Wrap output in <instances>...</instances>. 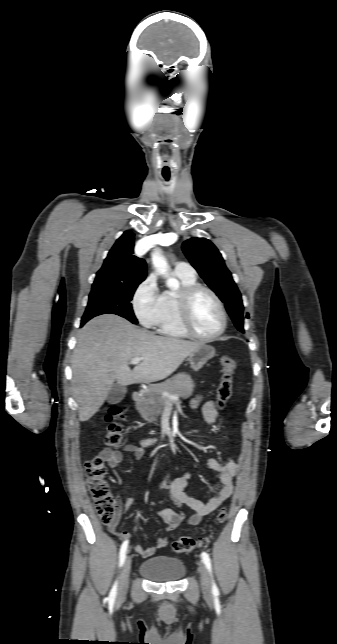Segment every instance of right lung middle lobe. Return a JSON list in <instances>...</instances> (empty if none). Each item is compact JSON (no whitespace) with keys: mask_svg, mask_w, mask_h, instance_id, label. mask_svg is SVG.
Returning a JSON list of instances; mask_svg holds the SVG:
<instances>
[{"mask_svg":"<svg viewBox=\"0 0 337 644\" xmlns=\"http://www.w3.org/2000/svg\"><path fill=\"white\" fill-rule=\"evenodd\" d=\"M140 283L93 284L81 323H86L95 316L110 313L137 324L130 301Z\"/></svg>","mask_w":337,"mask_h":644,"instance_id":"right-lung-middle-lobe-1","label":"right lung middle lobe"}]
</instances>
